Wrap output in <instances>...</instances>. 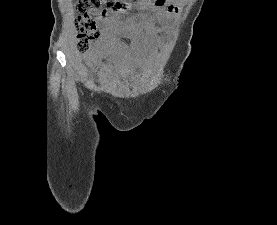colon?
I'll return each instance as SVG.
<instances>
[{"label": "colon", "mask_w": 277, "mask_h": 225, "mask_svg": "<svg viewBox=\"0 0 277 225\" xmlns=\"http://www.w3.org/2000/svg\"><path fill=\"white\" fill-rule=\"evenodd\" d=\"M76 8L82 13L74 22L77 31L76 46L79 51L83 52L88 49L89 43L98 35L97 27L90 13L104 17L110 12H125L129 6L118 0H76Z\"/></svg>", "instance_id": "obj_1"}]
</instances>
